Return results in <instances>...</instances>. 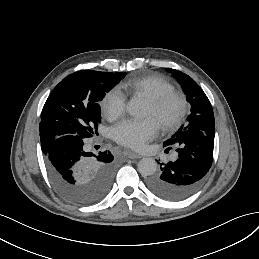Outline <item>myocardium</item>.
Segmentation results:
<instances>
[{
  "label": "myocardium",
  "instance_id": "1",
  "mask_svg": "<svg viewBox=\"0 0 259 259\" xmlns=\"http://www.w3.org/2000/svg\"><path fill=\"white\" fill-rule=\"evenodd\" d=\"M150 104L153 108V116L164 130L174 132L182 125L188 106L186 97L182 93L173 91L158 98H151ZM170 111L171 116L168 115Z\"/></svg>",
  "mask_w": 259,
  "mask_h": 259
}]
</instances>
